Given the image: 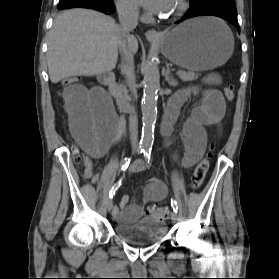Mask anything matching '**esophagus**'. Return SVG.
Returning a JSON list of instances; mask_svg holds the SVG:
<instances>
[{"mask_svg": "<svg viewBox=\"0 0 279 279\" xmlns=\"http://www.w3.org/2000/svg\"><path fill=\"white\" fill-rule=\"evenodd\" d=\"M145 36L150 41L158 40L161 37L160 33L153 29L147 30Z\"/></svg>", "mask_w": 279, "mask_h": 279, "instance_id": "esophagus-1", "label": "esophagus"}]
</instances>
